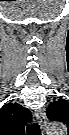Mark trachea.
<instances>
[{
  "label": "trachea",
  "instance_id": "trachea-1",
  "mask_svg": "<svg viewBox=\"0 0 69 135\" xmlns=\"http://www.w3.org/2000/svg\"><path fill=\"white\" fill-rule=\"evenodd\" d=\"M26 130L28 135H41L40 126L38 123L29 124Z\"/></svg>",
  "mask_w": 69,
  "mask_h": 135
}]
</instances>
